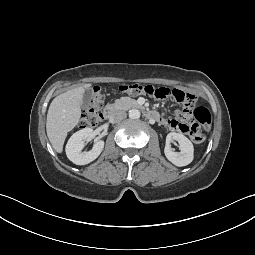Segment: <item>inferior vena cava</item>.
Returning a JSON list of instances; mask_svg holds the SVG:
<instances>
[{
  "label": "inferior vena cava",
  "instance_id": "1",
  "mask_svg": "<svg viewBox=\"0 0 255 255\" xmlns=\"http://www.w3.org/2000/svg\"><path fill=\"white\" fill-rule=\"evenodd\" d=\"M127 116L125 111L122 110H117L114 111L111 115H110V120L111 122H119L123 119H125Z\"/></svg>",
  "mask_w": 255,
  "mask_h": 255
}]
</instances>
